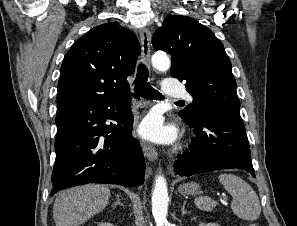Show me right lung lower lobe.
<instances>
[{"instance_id": "1", "label": "right lung lower lobe", "mask_w": 297, "mask_h": 226, "mask_svg": "<svg viewBox=\"0 0 297 226\" xmlns=\"http://www.w3.org/2000/svg\"><path fill=\"white\" fill-rule=\"evenodd\" d=\"M133 119L129 95L59 107L50 195L87 183L143 184L145 162L138 141L131 136ZM106 120L118 125H106Z\"/></svg>"}]
</instances>
